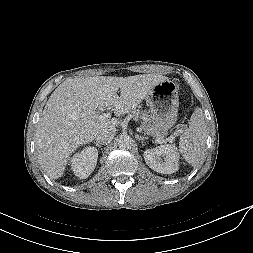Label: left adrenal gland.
Segmentation results:
<instances>
[{
  "instance_id": "left-adrenal-gland-1",
  "label": "left adrenal gland",
  "mask_w": 253,
  "mask_h": 253,
  "mask_svg": "<svg viewBox=\"0 0 253 253\" xmlns=\"http://www.w3.org/2000/svg\"><path fill=\"white\" fill-rule=\"evenodd\" d=\"M136 139H137L138 141H144V140H146V139H148V138H147V137H142V136L136 135Z\"/></svg>"
}]
</instances>
